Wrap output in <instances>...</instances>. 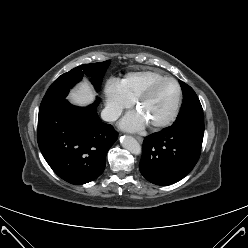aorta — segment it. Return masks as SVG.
Segmentation results:
<instances>
[{
    "label": "aorta",
    "mask_w": 248,
    "mask_h": 248,
    "mask_svg": "<svg viewBox=\"0 0 248 248\" xmlns=\"http://www.w3.org/2000/svg\"><path fill=\"white\" fill-rule=\"evenodd\" d=\"M120 142L122 147L128 150L129 152H131L132 154L134 155L141 154V146L137 142V140L132 136H123Z\"/></svg>",
    "instance_id": "obj_1"
}]
</instances>
